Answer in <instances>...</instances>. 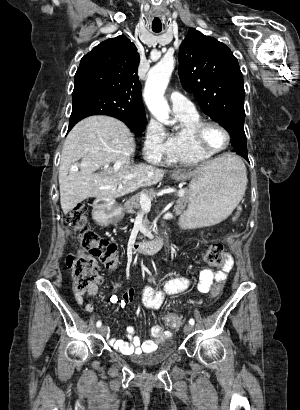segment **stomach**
<instances>
[{"mask_svg": "<svg viewBox=\"0 0 300 410\" xmlns=\"http://www.w3.org/2000/svg\"><path fill=\"white\" fill-rule=\"evenodd\" d=\"M220 167H204L192 173H180L177 180L191 179L189 205L183 217L187 228L207 227L225 220L233 211L243 194L242 176L232 166V159ZM121 208L108 214L115 219Z\"/></svg>", "mask_w": 300, "mask_h": 410, "instance_id": "0dacf381", "label": "stomach"}]
</instances>
